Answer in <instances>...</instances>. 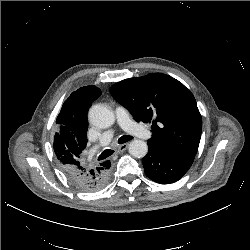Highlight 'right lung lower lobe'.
Masks as SVG:
<instances>
[{
  "label": "right lung lower lobe",
  "mask_w": 250,
  "mask_h": 250,
  "mask_svg": "<svg viewBox=\"0 0 250 250\" xmlns=\"http://www.w3.org/2000/svg\"><path fill=\"white\" fill-rule=\"evenodd\" d=\"M109 160L93 164H83L76 167H62L66 177L82 191H96L104 187L109 179Z\"/></svg>",
  "instance_id": "obj_1"
}]
</instances>
